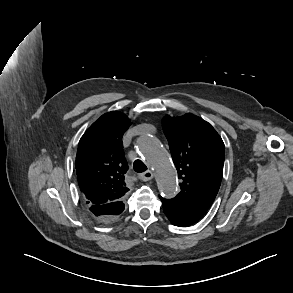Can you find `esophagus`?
I'll use <instances>...</instances> for the list:
<instances>
[{"label": "esophagus", "mask_w": 293, "mask_h": 293, "mask_svg": "<svg viewBox=\"0 0 293 293\" xmlns=\"http://www.w3.org/2000/svg\"><path fill=\"white\" fill-rule=\"evenodd\" d=\"M139 179H141L142 181H149L153 178V173L148 170L146 172L140 173L138 175Z\"/></svg>", "instance_id": "34e87169"}]
</instances>
